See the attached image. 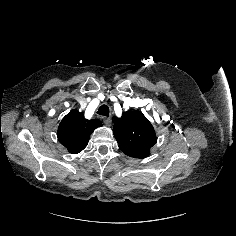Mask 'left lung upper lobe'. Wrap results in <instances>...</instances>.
<instances>
[{
    "label": "left lung upper lobe",
    "mask_w": 236,
    "mask_h": 236,
    "mask_svg": "<svg viewBox=\"0 0 236 236\" xmlns=\"http://www.w3.org/2000/svg\"><path fill=\"white\" fill-rule=\"evenodd\" d=\"M113 133L122 151L149 153L157 141L152 124L139 110L124 112L115 121Z\"/></svg>",
    "instance_id": "left-lung-upper-lobe-1"
}]
</instances>
